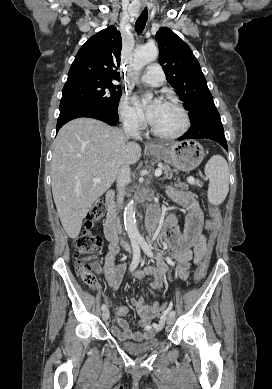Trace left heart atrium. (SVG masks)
Listing matches in <instances>:
<instances>
[{"label":"left heart atrium","instance_id":"left-heart-atrium-1","mask_svg":"<svg viewBox=\"0 0 272 389\" xmlns=\"http://www.w3.org/2000/svg\"><path fill=\"white\" fill-rule=\"evenodd\" d=\"M161 105V101L159 99H155L146 107V116L151 123L155 119Z\"/></svg>","mask_w":272,"mask_h":389}]
</instances>
